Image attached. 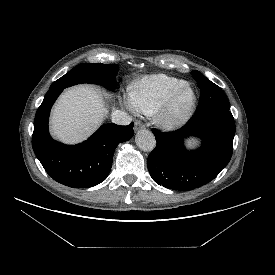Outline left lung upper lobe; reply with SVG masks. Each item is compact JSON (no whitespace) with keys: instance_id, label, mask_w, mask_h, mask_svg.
<instances>
[{"instance_id":"obj_1","label":"left lung upper lobe","mask_w":275,"mask_h":275,"mask_svg":"<svg viewBox=\"0 0 275 275\" xmlns=\"http://www.w3.org/2000/svg\"><path fill=\"white\" fill-rule=\"evenodd\" d=\"M191 74L195 78L201 91L200 104L197 112L204 114L212 111H229V102L220 87L197 70L192 71Z\"/></svg>"}]
</instances>
